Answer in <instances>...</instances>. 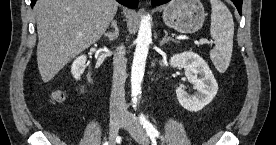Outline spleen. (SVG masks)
Returning <instances> with one entry per match:
<instances>
[{
	"instance_id": "1",
	"label": "spleen",
	"mask_w": 276,
	"mask_h": 145,
	"mask_svg": "<svg viewBox=\"0 0 276 145\" xmlns=\"http://www.w3.org/2000/svg\"><path fill=\"white\" fill-rule=\"evenodd\" d=\"M210 34L215 41V47L210 51V58L215 68L224 73L229 67L232 49L234 22L227 6L220 0H211Z\"/></svg>"
}]
</instances>
